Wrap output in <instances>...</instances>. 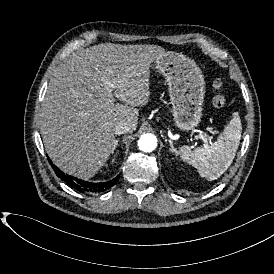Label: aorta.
<instances>
[{
    "mask_svg": "<svg viewBox=\"0 0 274 274\" xmlns=\"http://www.w3.org/2000/svg\"><path fill=\"white\" fill-rule=\"evenodd\" d=\"M138 147L143 152H152L157 147V138L151 133L141 135L138 140Z\"/></svg>",
    "mask_w": 274,
    "mask_h": 274,
    "instance_id": "1",
    "label": "aorta"
}]
</instances>
